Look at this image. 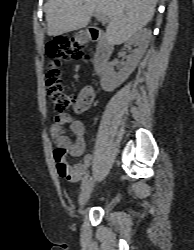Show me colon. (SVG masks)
<instances>
[{
  "label": "colon",
  "mask_w": 194,
  "mask_h": 250,
  "mask_svg": "<svg viewBox=\"0 0 194 250\" xmlns=\"http://www.w3.org/2000/svg\"><path fill=\"white\" fill-rule=\"evenodd\" d=\"M46 54L49 58L46 87L54 108L59 113L69 109H75L77 98L67 92L62 85L60 75L61 61H80L87 59L84 47L78 36L61 37L46 46ZM54 157L60 163L63 171L67 170L66 152L63 149L54 150Z\"/></svg>",
  "instance_id": "5ec220e1"
}]
</instances>
